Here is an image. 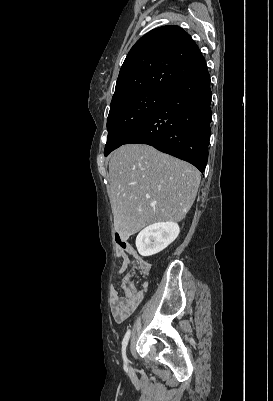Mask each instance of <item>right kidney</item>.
Returning <instances> with one entry per match:
<instances>
[{
  "instance_id": "ca27d5eb",
  "label": "right kidney",
  "mask_w": 273,
  "mask_h": 401,
  "mask_svg": "<svg viewBox=\"0 0 273 401\" xmlns=\"http://www.w3.org/2000/svg\"><path fill=\"white\" fill-rule=\"evenodd\" d=\"M180 229L177 223H154L143 229L136 237V247L142 257H151L166 249L177 239Z\"/></svg>"
}]
</instances>
